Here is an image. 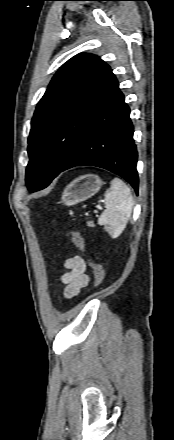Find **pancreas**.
<instances>
[{"mask_svg": "<svg viewBox=\"0 0 174 440\" xmlns=\"http://www.w3.org/2000/svg\"><path fill=\"white\" fill-rule=\"evenodd\" d=\"M87 226L88 227H94V224H93V222L89 221V222H87Z\"/></svg>", "mask_w": 174, "mask_h": 440, "instance_id": "cf45deb5", "label": "pancreas"}]
</instances>
